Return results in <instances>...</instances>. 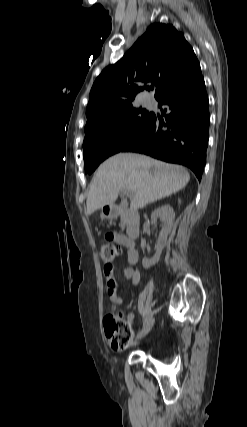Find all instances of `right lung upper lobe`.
I'll return each instance as SVG.
<instances>
[{
  "mask_svg": "<svg viewBox=\"0 0 247 427\" xmlns=\"http://www.w3.org/2000/svg\"><path fill=\"white\" fill-rule=\"evenodd\" d=\"M200 69L192 47L172 25L148 27L117 63L106 67L94 82L85 129L112 120L132 107L144 89L156 90L159 100L171 88Z\"/></svg>",
  "mask_w": 247,
  "mask_h": 427,
  "instance_id": "cb5924a9",
  "label": "right lung upper lobe"
}]
</instances>
